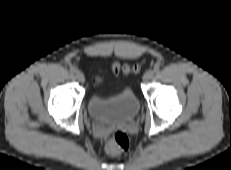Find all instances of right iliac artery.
Here are the masks:
<instances>
[{"label": "right iliac artery", "instance_id": "1", "mask_svg": "<svg viewBox=\"0 0 231 170\" xmlns=\"http://www.w3.org/2000/svg\"><path fill=\"white\" fill-rule=\"evenodd\" d=\"M76 71H77V69H76L75 67H73V66L70 67V72H71V73H75Z\"/></svg>", "mask_w": 231, "mask_h": 170}]
</instances>
